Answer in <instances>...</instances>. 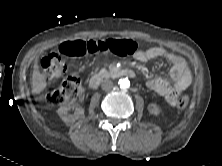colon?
<instances>
[{
  "mask_svg": "<svg viewBox=\"0 0 222 166\" xmlns=\"http://www.w3.org/2000/svg\"><path fill=\"white\" fill-rule=\"evenodd\" d=\"M138 49V43L131 39H99L89 41H68L61 45L60 54L51 53L41 61L44 76L47 79H56L66 72L65 57H82L98 53L125 56L134 53ZM83 88L79 77L69 75L58 88L46 96V101L51 106H59L67 102H73L82 96ZM188 104V97L180 95L177 99V108L184 109Z\"/></svg>",
  "mask_w": 222,
  "mask_h": 166,
  "instance_id": "obj_1",
  "label": "colon"
}]
</instances>
